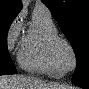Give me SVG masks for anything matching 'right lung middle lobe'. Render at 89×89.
Returning a JSON list of instances; mask_svg holds the SVG:
<instances>
[{
	"instance_id": "right-lung-middle-lobe-1",
	"label": "right lung middle lobe",
	"mask_w": 89,
	"mask_h": 89,
	"mask_svg": "<svg viewBox=\"0 0 89 89\" xmlns=\"http://www.w3.org/2000/svg\"><path fill=\"white\" fill-rule=\"evenodd\" d=\"M14 18L0 15V75L16 74L15 66L7 49V33Z\"/></svg>"
}]
</instances>
